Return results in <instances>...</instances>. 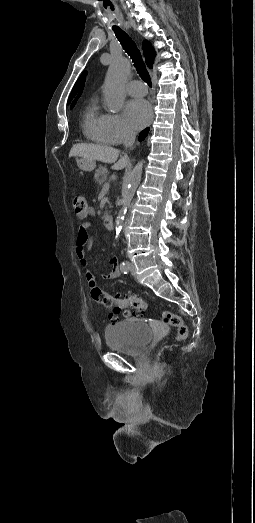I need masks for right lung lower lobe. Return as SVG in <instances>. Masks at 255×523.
Here are the masks:
<instances>
[{"instance_id": "1", "label": "right lung lower lobe", "mask_w": 255, "mask_h": 523, "mask_svg": "<svg viewBox=\"0 0 255 523\" xmlns=\"http://www.w3.org/2000/svg\"><path fill=\"white\" fill-rule=\"evenodd\" d=\"M139 138H140L141 140H143V139L140 137V135H139Z\"/></svg>"}]
</instances>
